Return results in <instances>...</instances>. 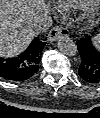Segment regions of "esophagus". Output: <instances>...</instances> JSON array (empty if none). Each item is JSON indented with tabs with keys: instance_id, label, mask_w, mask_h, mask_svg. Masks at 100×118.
I'll use <instances>...</instances> for the list:
<instances>
[{
	"instance_id": "esophagus-1",
	"label": "esophagus",
	"mask_w": 100,
	"mask_h": 118,
	"mask_svg": "<svg viewBox=\"0 0 100 118\" xmlns=\"http://www.w3.org/2000/svg\"><path fill=\"white\" fill-rule=\"evenodd\" d=\"M69 34L70 31L67 28H63L61 26H55L48 33L47 40L48 42H53L63 36H69Z\"/></svg>"
}]
</instances>
